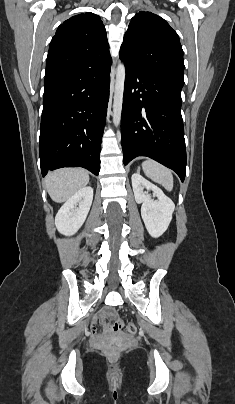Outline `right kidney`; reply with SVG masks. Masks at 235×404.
<instances>
[{
	"instance_id": "ca27d5eb",
	"label": "right kidney",
	"mask_w": 235,
	"mask_h": 404,
	"mask_svg": "<svg viewBox=\"0 0 235 404\" xmlns=\"http://www.w3.org/2000/svg\"><path fill=\"white\" fill-rule=\"evenodd\" d=\"M92 200V187L77 191L58 211L55 218L57 230L66 236L75 234L85 222Z\"/></svg>"
}]
</instances>
